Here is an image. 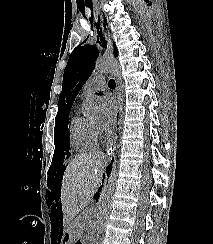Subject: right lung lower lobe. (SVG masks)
<instances>
[{
  "mask_svg": "<svg viewBox=\"0 0 213 244\" xmlns=\"http://www.w3.org/2000/svg\"><path fill=\"white\" fill-rule=\"evenodd\" d=\"M110 168H111V165H109V166L107 167V174H110Z\"/></svg>",
  "mask_w": 213,
  "mask_h": 244,
  "instance_id": "98d812e1",
  "label": "right lung lower lobe"
}]
</instances>
